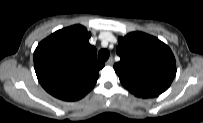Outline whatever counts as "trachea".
<instances>
[{"mask_svg":"<svg viewBox=\"0 0 203 123\" xmlns=\"http://www.w3.org/2000/svg\"><path fill=\"white\" fill-rule=\"evenodd\" d=\"M109 51L107 49H102L98 53V58L101 61H106L109 58Z\"/></svg>","mask_w":203,"mask_h":123,"instance_id":"1","label":"trachea"}]
</instances>
